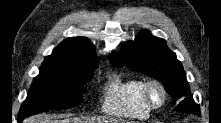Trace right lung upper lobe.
<instances>
[{"mask_svg": "<svg viewBox=\"0 0 221 123\" xmlns=\"http://www.w3.org/2000/svg\"><path fill=\"white\" fill-rule=\"evenodd\" d=\"M93 44L85 37L68 38L62 41L43 63H66L81 68L96 64Z\"/></svg>", "mask_w": 221, "mask_h": 123, "instance_id": "1", "label": "right lung upper lobe"}]
</instances>
